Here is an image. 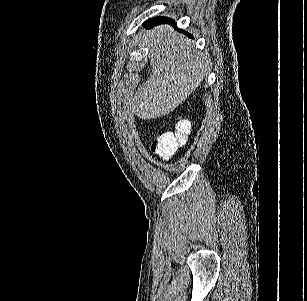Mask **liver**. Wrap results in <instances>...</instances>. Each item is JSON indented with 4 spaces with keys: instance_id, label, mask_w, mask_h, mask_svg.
<instances>
[{
    "instance_id": "6515ba94",
    "label": "liver",
    "mask_w": 307,
    "mask_h": 301,
    "mask_svg": "<svg viewBox=\"0 0 307 301\" xmlns=\"http://www.w3.org/2000/svg\"><path fill=\"white\" fill-rule=\"evenodd\" d=\"M150 68L130 102L139 118H156L172 112L205 78L211 62L194 50L191 38L178 34L170 24H160L146 34Z\"/></svg>"
}]
</instances>
